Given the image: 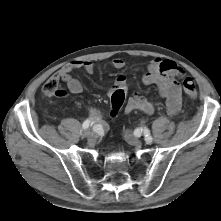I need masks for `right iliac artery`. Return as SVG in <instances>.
Returning <instances> with one entry per match:
<instances>
[{
  "mask_svg": "<svg viewBox=\"0 0 221 221\" xmlns=\"http://www.w3.org/2000/svg\"><path fill=\"white\" fill-rule=\"evenodd\" d=\"M92 124H93V121L90 119H87L83 122L82 128L86 131Z\"/></svg>",
  "mask_w": 221,
  "mask_h": 221,
  "instance_id": "right-iliac-artery-1",
  "label": "right iliac artery"
}]
</instances>
